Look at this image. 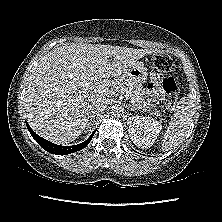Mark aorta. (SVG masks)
<instances>
[{"label":"aorta","instance_id":"1","mask_svg":"<svg viewBox=\"0 0 222 222\" xmlns=\"http://www.w3.org/2000/svg\"><path fill=\"white\" fill-rule=\"evenodd\" d=\"M124 108L122 105H115L111 109V114L115 117H119L123 114Z\"/></svg>","mask_w":222,"mask_h":222}]
</instances>
